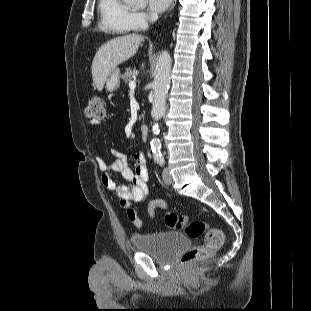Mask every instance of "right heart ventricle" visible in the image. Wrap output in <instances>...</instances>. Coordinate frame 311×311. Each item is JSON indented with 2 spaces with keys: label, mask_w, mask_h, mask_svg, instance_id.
<instances>
[{
  "label": "right heart ventricle",
  "mask_w": 311,
  "mask_h": 311,
  "mask_svg": "<svg viewBox=\"0 0 311 311\" xmlns=\"http://www.w3.org/2000/svg\"><path fill=\"white\" fill-rule=\"evenodd\" d=\"M99 26L106 32L128 34L135 30L131 8L124 0H99Z\"/></svg>",
  "instance_id": "1"
}]
</instances>
